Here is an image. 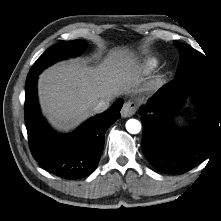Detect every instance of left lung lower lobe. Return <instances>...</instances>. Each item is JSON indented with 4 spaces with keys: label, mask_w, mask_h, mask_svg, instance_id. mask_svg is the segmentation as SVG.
I'll return each instance as SVG.
<instances>
[{
    "label": "left lung lower lobe",
    "mask_w": 221,
    "mask_h": 221,
    "mask_svg": "<svg viewBox=\"0 0 221 221\" xmlns=\"http://www.w3.org/2000/svg\"><path fill=\"white\" fill-rule=\"evenodd\" d=\"M191 94L199 108L198 123L175 131L147 115L152 111L168 116L183 96ZM143 123L142 150L151 165L166 174L188 172L211 154L221 141V88L202 77L174 78L160 88L139 110Z\"/></svg>",
    "instance_id": "left-lung-lower-lobe-1"
}]
</instances>
